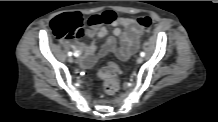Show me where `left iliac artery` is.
I'll return each instance as SVG.
<instances>
[{
  "instance_id": "44dca946",
  "label": "left iliac artery",
  "mask_w": 218,
  "mask_h": 122,
  "mask_svg": "<svg viewBox=\"0 0 218 122\" xmlns=\"http://www.w3.org/2000/svg\"><path fill=\"white\" fill-rule=\"evenodd\" d=\"M140 56H141V57H144V56H145V53H144V52H141V53H140Z\"/></svg>"
}]
</instances>
